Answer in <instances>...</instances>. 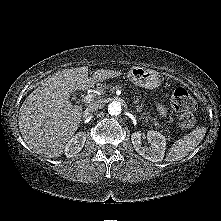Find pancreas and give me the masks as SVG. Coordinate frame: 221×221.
Returning <instances> with one entry per match:
<instances>
[{
  "label": "pancreas",
  "instance_id": "1",
  "mask_svg": "<svg viewBox=\"0 0 221 221\" xmlns=\"http://www.w3.org/2000/svg\"><path fill=\"white\" fill-rule=\"evenodd\" d=\"M122 87V85H116V86H111V85H100V86H98L97 87V91H99V92H101V93H104L107 89H112V90H115V89H118V88H121ZM139 101H140V97L139 96H136L135 97V100H134V104H136V110L138 111V112H142V109H143V105H144V103L143 102H141L140 104H139ZM149 112H143V113H141V118L142 119H144V120H146V121H150V122H152L153 123V125H155L157 128H163L164 126L163 125H161V124H159V122L157 121V119L156 118H152V117H150L149 115ZM164 131L167 133V134H169V129L167 128V127H164ZM171 137L170 136H168V139H170Z\"/></svg>",
  "mask_w": 221,
  "mask_h": 221
}]
</instances>
